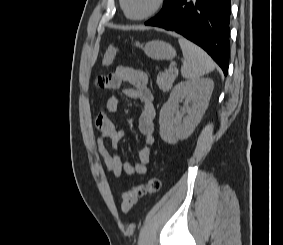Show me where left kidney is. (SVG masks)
Instances as JSON below:
<instances>
[{"mask_svg":"<svg viewBox=\"0 0 283 245\" xmlns=\"http://www.w3.org/2000/svg\"><path fill=\"white\" fill-rule=\"evenodd\" d=\"M214 88L211 79L185 81L177 84L163 105L159 115L160 136L168 144H176L188 138L202 119ZM185 100L182 119L179 101Z\"/></svg>","mask_w":283,"mask_h":245,"instance_id":"obj_1","label":"left kidney"}]
</instances>
